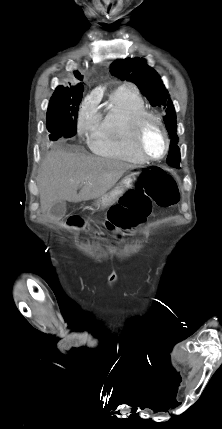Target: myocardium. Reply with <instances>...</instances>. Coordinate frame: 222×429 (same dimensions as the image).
Wrapping results in <instances>:
<instances>
[{
    "mask_svg": "<svg viewBox=\"0 0 222 429\" xmlns=\"http://www.w3.org/2000/svg\"><path fill=\"white\" fill-rule=\"evenodd\" d=\"M149 119L155 121L158 124L165 138V143H166L165 149L163 154L159 157L150 156L142 146L141 138H142L143 127L145 122ZM133 144L136 150L138 151V153L147 161H159L165 158V156L168 154L170 149V137L164 123L162 122L161 118L158 115L146 110L136 115L133 122Z\"/></svg>",
    "mask_w": 222,
    "mask_h": 429,
    "instance_id": "1",
    "label": "myocardium"
}]
</instances>
